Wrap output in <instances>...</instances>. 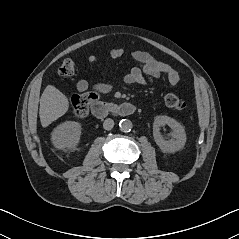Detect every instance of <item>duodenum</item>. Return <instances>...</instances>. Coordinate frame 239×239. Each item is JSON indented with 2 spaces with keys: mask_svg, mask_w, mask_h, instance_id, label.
I'll list each match as a JSON object with an SVG mask.
<instances>
[{
  "mask_svg": "<svg viewBox=\"0 0 239 239\" xmlns=\"http://www.w3.org/2000/svg\"><path fill=\"white\" fill-rule=\"evenodd\" d=\"M136 106L131 103L107 104L94 102L91 105V111L97 119H104L107 115L130 116L136 112Z\"/></svg>",
  "mask_w": 239,
  "mask_h": 239,
  "instance_id": "410a0bca",
  "label": "duodenum"
}]
</instances>
